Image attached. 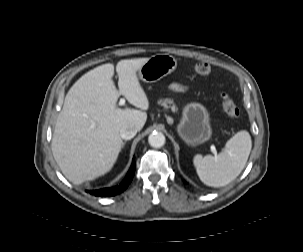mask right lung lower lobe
I'll return each instance as SVG.
<instances>
[{"label": "right lung lower lobe", "mask_w": 303, "mask_h": 252, "mask_svg": "<svg viewBox=\"0 0 303 252\" xmlns=\"http://www.w3.org/2000/svg\"><path fill=\"white\" fill-rule=\"evenodd\" d=\"M134 172H135V159L133 158L131 168L128 171L126 178L119 185L114 186V187H109V188H103V189H99V190H92V191H90V194H92L94 196H100V197H110V196L117 195V194L123 192L128 187V185L130 184V182L134 176Z\"/></svg>", "instance_id": "1"}]
</instances>
